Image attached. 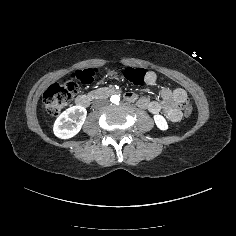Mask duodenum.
I'll return each instance as SVG.
<instances>
[{
	"instance_id": "410a0bca",
	"label": "duodenum",
	"mask_w": 236,
	"mask_h": 236,
	"mask_svg": "<svg viewBox=\"0 0 236 236\" xmlns=\"http://www.w3.org/2000/svg\"><path fill=\"white\" fill-rule=\"evenodd\" d=\"M114 89L111 88H100L91 94H82L77 96L75 102L76 105L82 108H87L91 101L97 98H103L114 94ZM125 98L128 101H134L136 99L133 93H126ZM138 106L143 109H148L151 113H163L169 119L175 121L179 118V101L176 96H172L170 99L165 100L163 103H150L146 99H140Z\"/></svg>"
}]
</instances>
